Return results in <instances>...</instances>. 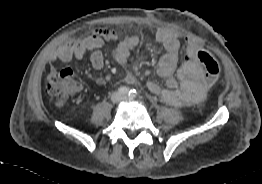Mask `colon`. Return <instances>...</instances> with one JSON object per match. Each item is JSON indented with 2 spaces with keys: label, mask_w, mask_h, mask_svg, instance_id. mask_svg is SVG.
Listing matches in <instances>:
<instances>
[{
  "label": "colon",
  "mask_w": 262,
  "mask_h": 184,
  "mask_svg": "<svg viewBox=\"0 0 262 184\" xmlns=\"http://www.w3.org/2000/svg\"><path fill=\"white\" fill-rule=\"evenodd\" d=\"M195 56L202 66L209 84H214L220 77L221 67L214 56L207 50L197 48ZM78 83L70 69L52 72L47 77V91L57 106L64 105L78 90Z\"/></svg>",
  "instance_id": "obj_1"
}]
</instances>
